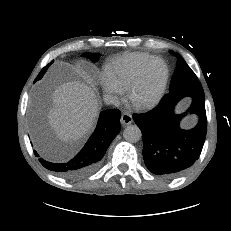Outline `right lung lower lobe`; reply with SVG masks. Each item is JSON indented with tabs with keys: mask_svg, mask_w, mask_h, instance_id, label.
<instances>
[{
	"mask_svg": "<svg viewBox=\"0 0 231 231\" xmlns=\"http://www.w3.org/2000/svg\"><path fill=\"white\" fill-rule=\"evenodd\" d=\"M121 113L117 109H109L100 113L94 133L83 149L70 161L62 163L48 162L39 158L40 163L56 174L76 179L94 172L100 165L110 143L120 131ZM35 155L38 157L36 151Z\"/></svg>",
	"mask_w": 231,
	"mask_h": 231,
	"instance_id": "right-lung-lower-lobe-1",
	"label": "right lung lower lobe"
}]
</instances>
